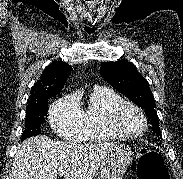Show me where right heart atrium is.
I'll return each instance as SVG.
<instances>
[{
  "label": "right heart atrium",
  "mask_w": 183,
  "mask_h": 179,
  "mask_svg": "<svg viewBox=\"0 0 183 179\" xmlns=\"http://www.w3.org/2000/svg\"><path fill=\"white\" fill-rule=\"evenodd\" d=\"M50 122L53 129L64 139L75 141L82 137L83 114L74 94L60 98L51 106Z\"/></svg>",
  "instance_id": "d8ad5b80"
}]
</instances>
